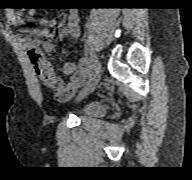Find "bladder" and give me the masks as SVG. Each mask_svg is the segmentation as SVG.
<instances>
[{"mask_svg": "<svg viewBox=\"0 0 192 180\" xmlns=\"http://www.w3.org/2000/svg\"><path fill=\"white\" fill-rule=\"evenodd\" d=\"M78 114L81 117L98 118L106 114V107L101 101L92 100L84 103L79 109Z\"/></svg>", "mask_w": 192, "mask_h": 180, "instance_id": "1", "label": "bladder"}]
</instances>
